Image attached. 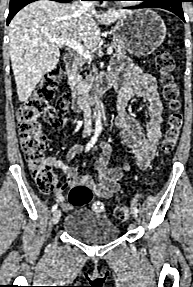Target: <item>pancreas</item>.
I'll return each instance as SVG.
<instances>
[{
  "mask_svg": "<svg viewBox=\"0 0 193 287\" xmlns=\"http://www.w3.org/2000/svg\"><path fill=\"white\" fill-rule=\"evenodd\" d=\"M112 46L115 49V53L113 54L114 57H125L126 55V47L125 45L120 42V41H114L112 42ZM78 67L75 66L72 69V77H73V83L75 84L76 88L78 90L83 89L85 86L90 85L93 81H94V76H92L91 74L87 76V82H84L82 80V78L78 75Z\"/></svg>",
  "mask_w": 193,
  "mask_h": 287,
  "instance_id": "1",
  "label": "pancreas"
}]
</instances>
